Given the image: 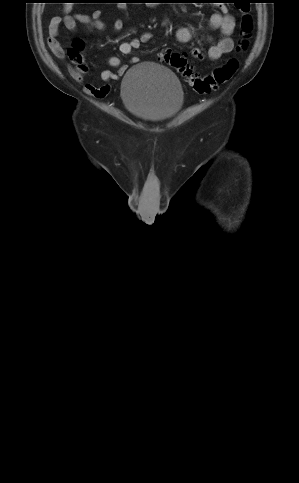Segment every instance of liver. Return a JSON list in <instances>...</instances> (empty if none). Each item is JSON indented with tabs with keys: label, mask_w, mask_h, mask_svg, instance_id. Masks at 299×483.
Returning a JSON list of instances; mask_svg holds the SVG:
<instances>
[{
	"label": "liver",
	"mask_w": 299,
	"mask_h": 483,
	"mask_svg": "<svg viewBox=\"0 0 299 483\" xmlns=\"http://www.w3.org/2000/svg\"><path fill=\"white\" fill-rule=\"evenodd\" d=\"M66 4L67 5L65 6V11L66 12H69L71 10V8H72V6H71L72 3H66Z\"/></svg>",
	"instance_id": "obj_1"
}]
</instances>
